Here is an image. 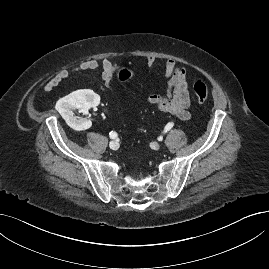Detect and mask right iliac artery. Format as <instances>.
I'll list each match as a JSON object with an SVG mask.
<instances>
[{
    "label": "right iliac artery",
    "mask_w": 269,
    "mask_h": 269,
    "mask_svg": "<svg viewBox=\"0 0 269 269\" xmlns=\"http://www.w3.org/2000/svg\"><path fill=\"white\" fill-rule=\"evenodd\" d=\"M109 136H110L111 139H117V137H118L117 133L116 132H113V131H111L109 133Z\"/></svg>",
    "instance_id": "82829eb1"
}]
</instances>
